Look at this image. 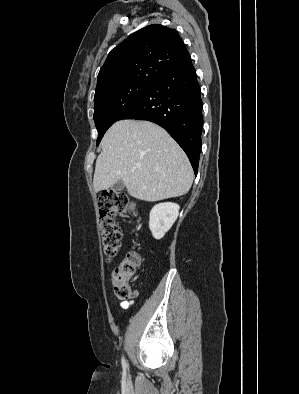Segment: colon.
<instances>
[{"mask_svg": "<svg viewBox=\"0 0 299 394\" xmlns=\"http://www.w3.org/2000/svg\"><path fill=\"white\" fill-rule=\"evenodd\" d=\"M129 202L126 194L114 190L103 192L97 199L102 251L108 261L118 256L121 246L120 228L114 218L117 214L123 213ZM140 263L139 252L131 250L124 255L115 268L112 275V286L117 298L128 299L132 296L130 281L137 272Z\"/></svg>", "mask_w": 299, "mask_h": 394, "instance_id": "colon-1", "label": "colon"}]
</instances>
